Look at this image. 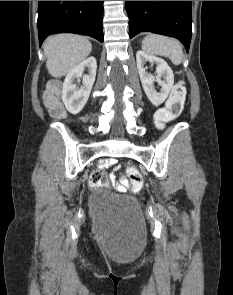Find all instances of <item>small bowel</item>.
Returning <instances> with one entry per match:
<instances>
[{
  "label": "small bowel",
  "mask_w": 233,
  "mask_h": 295,
  "mask_svg": "<svg viewBox=\"0 0 233 295\" xmlns=\"http://www.w3.org/2000/svg\"><path fill=\"white\" fill-rule=\"evenodd\" d=\"M117 164V160L116 159H108L105 161L104 166L109 167V166H114ZM115 183V187L116 190L119 192H124L126 191V187L123 184L117 183L115 181H113Z\"/></svg>",
  "instance_id": "obj_1"
}]
</instances>
